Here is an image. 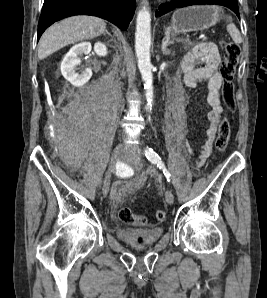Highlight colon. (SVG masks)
Instances as JSON below:
<instances>
[{
    "label": "colon",
    "mask_w": 267,
    "mask_h": 298,
    "mask_svg": "<svg viewBox=\"0 0 267 298\" xmlns=\"http://www.w3.org/2000/svg\"><path fill=\"white\" fill-rule=\"evenodd\" d=\"M240 53L241 50L238 44L233 42L224 44V61L220 70L223 81L222 94L226 106L230 109H232L235 104L233 78L239 62ZM230 134V123L227 118H224L219 125L218 135L215 142V146L218 151L223 152L226 150ZM118 216L121 222L128 225L145 226L148 223V219L145 216L135 214L128 207L121 208ZM165 216L166 213L164 210H157L155 213L157 221H163Z\"/></svg>",
    "instance_id": "1"
}]
</instances>
